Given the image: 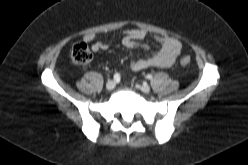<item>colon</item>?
<instances>
[{"label": "colon", "mask_w": 248, "mask_h": 165, "mask_svg": "<svg viewBox=\"0 0 248 165\" xmlns=\"http://www.w3.org/2000/svg\"><path fill=\"white\" fill-rule=\"evenodd\" d=\"M70 57L73 64L86 65L91 62L93 53L86 42H78L73 46ZM190 62L189 56H182L180 58V63L183 66L189 65Z\"/></svg>", "instance_id": "1"}]
</instances>
